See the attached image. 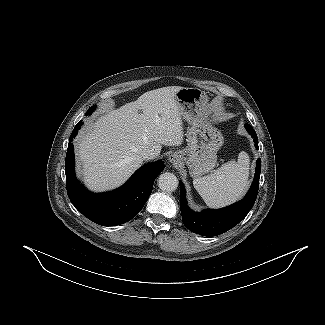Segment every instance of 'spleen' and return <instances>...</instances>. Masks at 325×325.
I'll return each instance as SVG.
<instances>
[{
	"label": "spleen",
	"instance_id": "3e777b00",
	"mask_svg": "<svg viewBox=\"0 0 325 325\" xmlns=\"http://www.w3.org/2000/svg\"><path fill=\"white\" fill-rule=\"evenodd\" d=\"M249 164L248 154L242 151L236 161H228L210 175L194 178L193 185L209 207L229 205L248 189Z\"/></svg>",
	"mask_w": 325,
	"mask_h": 325
}]
</instances>
